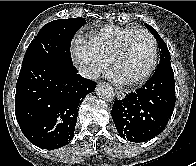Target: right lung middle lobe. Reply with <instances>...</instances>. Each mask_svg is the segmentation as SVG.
Here are the masks:
<instances>
[{
	"label": "right lung middle lobe",
	"instance_id": "1",
	"mask_svg": "<svg viewBox=\"0 0 196 166\" xmlns=\"http://www.w3.org/2000/svg\"><path fill=\"white\" fill-rule=\"evenodd\" d=\"M85 18L59 19L45 24L30 43L22 64L37 58H55L72 63L71 40Z\"/></svg>",
	"mask_w": 196,
	"mask_h": 166
}]
</instances>
